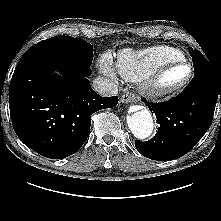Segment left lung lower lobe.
Masks as SVG:
<instances>
[{
    "label": "left lung lower lobe",
    "mask_w": 221,
    "mask_h": 221,
    "mask_svg": "<svg viewBox=\"0 0 221 221\" xmlns=\"http://www.w3.org/2000/svg\"><path fill=\"white\" fill-rule=\"evenodd\" d=\"M219 101L221 103V71L194 75L182 93L169 101L144 100L160 127L151 140H136V149L152 160H173L185 155L210 128Z\"/></svg>",
    "instance_id": "1"
}]
</instances>
